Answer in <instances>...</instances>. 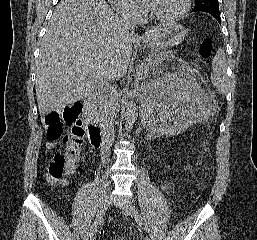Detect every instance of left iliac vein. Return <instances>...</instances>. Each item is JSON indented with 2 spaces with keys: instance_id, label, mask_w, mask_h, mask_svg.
I'll return each instance as SVG.
<instances>
[{
  "instance_id": "4c4485c4",
  "label": "left iliac vein",
  "mask_w": 257,
  "mask_h": 240,
  "mask_svg": "<svg viewBox=\"0 0 257 240\" xmlns=\"http://www.w3.org/2000/svg\"><path fill=\"white\" fill-rule=\"evenodd\" d=\"M122 211L125 213V214H127V215H129V216H133V213H134V210H133V206H132V204L130 203V202H124L123 204H122Z\"/></svg>"
}]
</instances>
